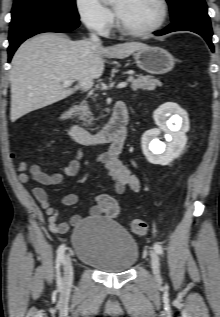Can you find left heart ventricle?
Segmentation results:
<instances>
[{
  "instance_id": "left-heart-ventricle-1",
  "label": "left heart ventricle",
  "mask_w": 220,
  "mask_h": 317,
  "mask_svg": "<svg viewBox=\"0 0 220 317\" xmlns=\"http://www.w3.org/2000/svg\"><path fill=\"white\" fill-rule=\"evenodd\" d=\"M117 17L131 29H145L154 25L161 14L158 0H116Z\"/></svg>"
}]
</instances>
